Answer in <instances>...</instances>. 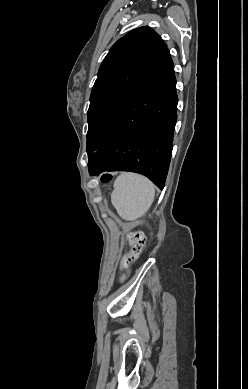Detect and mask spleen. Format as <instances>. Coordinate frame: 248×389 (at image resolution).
Masks as SVG:
<instances>
[{
  "instance_id": "1",
  "label": "spleen",
  "mask_w": 248,
  "mask_h": 389,
  "mask_svg": "<svg viewBox=\"0 0 248 389\" xmlns=\"http://www.w3.org/2000/svg\"><path fill=\"white\" fill-rule=\"evenodd\" d=\"M155 187L146 177L136 173H122L114 183L111 202L126 220L141 217L151 206Z\"/></svg>"
}]
</instances>
